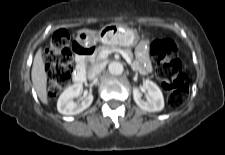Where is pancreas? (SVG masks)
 Here are the masks:
<instances>
[{
    "label": "pancreas",
    "instance_id": "1",
    "mask_svg": "<svg viewBox=\"0 0 225 155\" xmlns=\"http://www.w3.org/2000/svg\"><path fill=\"white\" fill-rule=\"evenodd\" d=\"M113 49H120L125 51L128 56L133 59V53L130 48L125 47L121 48L119 45H103L96 48L95 52L88 58V61L91 64L99 63L102 61V58L100 57V53L104 50H113Z\"/></svg>",
    "mask_w": 225,
    "mask_h": 155
}]
</instances>
